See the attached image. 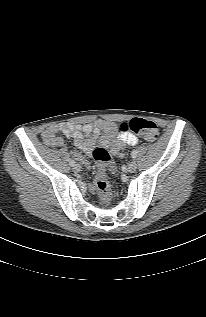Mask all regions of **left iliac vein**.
<instances>
[{
    "label": "left iliac vein",
    "instance_id": "4c4485c4",
    "mask_svg": "<svg viewBox=\"0 0 206 317\" xmlns=\"http://www.w3.org/2000/svg\"><path fill=\"white\" fill-rule=\"evenodd\" d=\"M136 169H137V163L136 161L132 160L127 166V172L133 173L136 171Z\"/></svg>",
    "mask_w": 206,
    "mask_h": 317
}]
</instances>
